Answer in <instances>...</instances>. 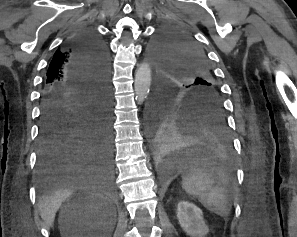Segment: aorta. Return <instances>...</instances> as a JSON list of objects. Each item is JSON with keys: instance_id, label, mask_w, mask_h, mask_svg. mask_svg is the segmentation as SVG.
Masks as SVG:
<instances>
[{"instance_id": "obj_1", "label": "aorta", "mask_w": 297, "mask_h": 237, "mask_svg": "<svg viewBox=\"0 0 297 237\" xmlns=\"http://www.w3.org/2000/svg\"><path fill=\"white\" fill-rule=\"evenodd\" d=\"M150 85L151 68L148 63H143L137 68L134 80V91L139 103H142L147 98Z\"/></svg>"}]
</instances>
